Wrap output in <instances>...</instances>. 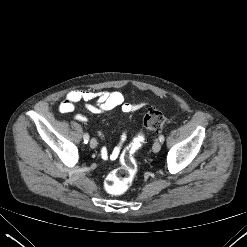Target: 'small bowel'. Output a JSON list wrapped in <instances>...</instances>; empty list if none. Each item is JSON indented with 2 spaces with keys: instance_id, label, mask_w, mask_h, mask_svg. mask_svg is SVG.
Returning <instances> with one entry per match:
<instances>
[{
  "instance_id": "1",
  "label": "small bowel",
  "mask_w": 247,
  "mask_h": 247,
  "mask_svg": "<svg viewBox=\"0 0 247 247\" xmlns=\"http://www.w3.org/2000/svg\"><path fill=\"white\" fill-rule=\"evenodd\" d=\"M92 101H95L92 103ZM83 103L85 108L93 114H104L114 110L117 107L121 108V111L125 115H129L138 110L142 104L140 103H127L124 100V96L119 91H94V90H74L69 92L65 99L59 105V111L61 113L72 112L76 105ZM75 119L79 122H87V116L83 114H76ZM102 137V134L99 133ZM126 139V134L123 132L120 137L119 144L109 152L107 148L103 147L100 150V155L104 160H115L118 158L121 150L122 143Z\"/></svg>"
}]
</instances>
